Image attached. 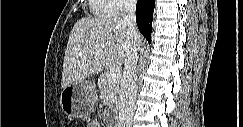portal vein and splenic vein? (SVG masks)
Masks as SVG:
<instances>
[{"mask_svg":"<svg viewBox=\"0 0 243 127\" xmlns=\"http://www.w3.org/2000/svg\"><path fill=\"white\" fill-rule=\"evenodd\" d=\"M107 81H114L120 78L121 71L120 68H112L110 71L106 74Z\"/></svg>","mask_w":243,"mask_h":127,"instance_id":"18ae733b","label":"portal vein and splenic vein"}]
</instances>
